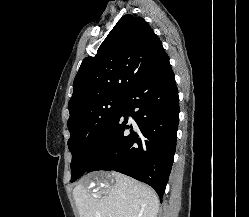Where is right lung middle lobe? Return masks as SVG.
I'll use <instances>...</instances> for the list:
<instances>
[{
  "label": "right lung middle lobe",
  "instance_id": "obj_1",
  "mask_svg": "<svg viewBox=\"0 0 249 217\" xmlns=\"http://www.w3.org/2000/svg\"><path fill=\"white\" fill-rule=\"evenodd\" d=\"M125 96L103 97L90 101L70 113L68 148L72 153L71 181L81 177L83 163L96 143L118 116Z\"/></svg>",
  "mask_w": 249,
  "mask_h": 217
}]
</instances>
